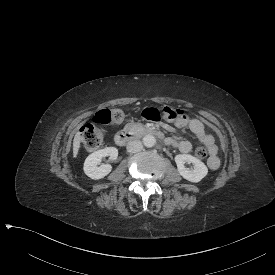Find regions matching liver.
Here are the masks:
<instances>
[{"mask_svg":"<svg viewBox=\"0 0 275 275\" xmlns=\"http://www.w3.org/2000/svg\"><path fill=\"white\" fill-rule=\"evenodd\" d=\"M82 136L80 132H77L73 140V158L76 159L81 147Z\"/></svg>","mask_w":275,"mask_h":275,"instance_id":"obj_1","label":"liver"}]
</instances>
